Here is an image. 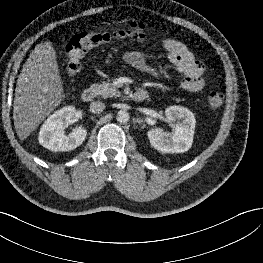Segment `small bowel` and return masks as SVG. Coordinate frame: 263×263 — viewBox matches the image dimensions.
<instances>
[{
  "label": "small bowel",
  "instance_id": "c3829d8e",
  "mask_svg": "<svg viewBox=\"0 0 263 263\" xmlns=\"http://www.w3.org/2000/svg\"><path fill=\"white\" fill-rule=\"evenodd\" d=\"M163 48L167 51L168 61L174 65L176 71L184 77L182 87L191 93H198L203 90L205 82L202 78L204 64L195 59L186 45L176 39H164ZM124 61L133 68L152 76H157L159 70L148 63L146 57L137 51L126 52Z\"/></svg>",
  "mask_w": 263,
  "mask_h": 263
}]
</instances>
